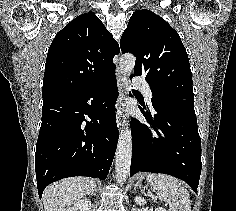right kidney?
Segmentation results:
<instances>
[{"label": "right kidney", "instance_id": "obj_1", "mask_svg": "<svg viewBox=\"0 0 236 211\" xmlns=\"http://www.w3.org/2000/svg\"><path fill=\"white\" fill-rule=\"evenodd\" d=\"M91 207V201L89 199H83L74 204L73 207H70L67 211H89Z\"/></svg>", "mask_w": 236, "mask_h": 211}]
</instances>
